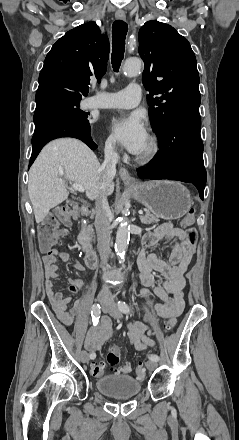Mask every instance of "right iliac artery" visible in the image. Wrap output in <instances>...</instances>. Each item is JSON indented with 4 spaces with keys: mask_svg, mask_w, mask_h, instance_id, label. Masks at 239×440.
<instances>
[{
    "mask_svg": "<svg viewBox=\"0 0 239 440\" xmlns=\"http://www.w3.org/2000/svg\"><path fill=\"white\" fill-rule=\"evenodd\" d=\"M100 314H101V307L99 304H94L92 306V310H91V316H92V321L93 324L96 325L98 323V320L100 318ZM96 356L95 354L91 353L90 354V358L94 359Z\"/></svg>",
    "mask_w": 239,
    "mask_h": 440,
    "instance_id": "obj_1",
    "label": "right iliac artery"
}]
</instances>
